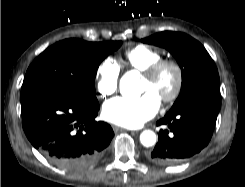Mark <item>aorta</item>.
I'll list each match as a JSON object with an SVG mask.
<instances>
[{"label": "aorta", "instance_id": "762f6f07", "mask_svg": "<svg viewBox=\"0 0 245 187\" xmlns=\"http://www.w3.org/2000/svg\"><path fill=\"white\" fill-rule=\"evenodd\" d=\"M139 76L126 73L120 80V92L127 98L134 100L140 96L138 87ZM140 142L145 147H151L156 143V134L151 130H145L140 135Z\"/></svg>", "mask_w": 245, "mask_h": 187}]
</instances>
